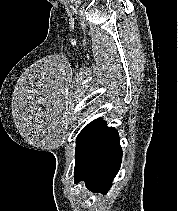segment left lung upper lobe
<instances>
[{
  "instance_id": "obj_1",
  "label": "left lung upper lobe",
  "mask_w": 178,
  "mask_h": 211,
  "mask_svg": "<svg viewBox=\"0 0 178 211\" xmlns=\"http://www.w3.org/2000/svg\"><path fill=\"white\" fill-rule=\"evenodd\" d=\"M98 119L92 121L89 123L78 135L76 140V147L79 145V143L86 137V135L89 133V131L93 128V126L96 124Z\"/></svg>"
}]
</instances>
